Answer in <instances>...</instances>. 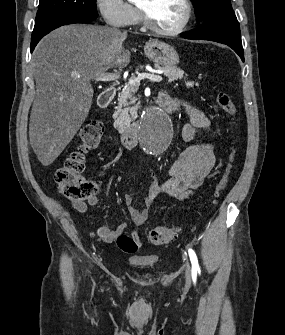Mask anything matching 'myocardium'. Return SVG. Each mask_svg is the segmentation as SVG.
I'll return each mask as SVG.
<instances>
[{
	"instance_id": "f54148a6",
	"label": "myocardium",
	"mask_w": 285,
	"mask_h": 335,
	"mask_svg": "<svg viewBox=\"0 0 285 335\" xmlns=\"http://www.w3.org/2000/svg\"><path fill=\"white\" fill-rule=\"evenodd\" d=\"M179 2L183 5L186 11V15L183 22L174 29H163L153 24L150 17L148 1H138L140 21L142 23L143 28L152 34L162 36H175L185 31V29L188 27L192 19V6L189 1H179Z\"/></svg>"
}]
</instances>
